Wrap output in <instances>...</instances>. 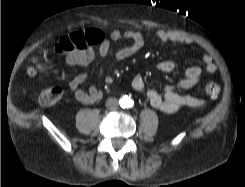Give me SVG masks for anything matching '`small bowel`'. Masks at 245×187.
Wrapping results in <instances>:
<instances>
[{
    "label": "small bowel",
    "instance_id": "small-bowel-1",
    "mask_svg": "<svg viewBox=\"0 0 245 187\" xmlns=\"http://www.w3.org/2000/svg\"><path fill=\"white\" fill-rule=\"evenodd\" d=\"M86 38L91 44H98V50L94 52L92 49H84L79 51L69 52L65 56V62L68 65H89L96 57L106 58L111 51V42L119 40H128L129 45L119 49L115 53V58L118 61L125 60L137 53L145 44V36L139 30H120L114 29L108 35H105L98 28H89L86 30ZM154 37L163 44L180 43L184 45H192L193 39L183 33L171 30L158 29L154 32ZM204 71L207 74H214L217 71V66L213 58L206 54L202 58ZM157 70L162 73H171L175 70V64L172 61H162L157 64ZM203 71L200 67L194 66L188 68L183 74L182 79L175 86H166L163 93H159L154 89L146 87L144 78L136 75L131 82L132 88L137 92H144L149 100V103L155 109L164 113H174L183 107H199L203 105V101L188 95L180 94V90H185L196 85ZM87 79V73L82 72L76 75L69 82V89L73 93L75 99L82 104H91L98 101L102 97V92L95 86L88 90L81 89V85ZM107 83L111 82L108 77Z\"/></svg>",
    "mask_w": 245,
    "mask_h": 187
}]
</instances>
